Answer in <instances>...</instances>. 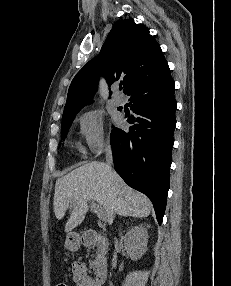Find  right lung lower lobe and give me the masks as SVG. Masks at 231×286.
I'll use <instances>...</instances> for the list:
<instances>
[{
    "mask_svg": "<svg viewBox=\"0 0 231 286\" xmlns=\"http://www.w3.org/2000/svg\"><path fill=\"white\" fill-rule=\"evenodd\" d=\"M175 85L170 70L162 76L139 80L125 92L136 123L128 131L113 128L114 167L132 188L152 201L161 224L169 190L173 134L176 126Z\"/></svg>",
    "mask_w": 231,
    "mask_h": 286,
    "instance_id": "98d812e1",
    "label": "right lung lower lobe"
}]
</instances>
